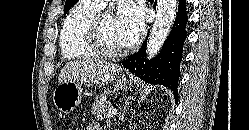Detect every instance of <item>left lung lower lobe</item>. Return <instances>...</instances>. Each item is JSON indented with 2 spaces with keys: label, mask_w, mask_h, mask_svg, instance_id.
I'll list each match as a JSON object with an SVG mask.
<instances>
[{
  "label": "left lung lower lobe",
  "mask_w": 249,
  "mask_h": 130,
  "mask_svg": "<svg viewBox=\"0 0 249 130\" xmlns=\"http://www.w3.org/2000/svg\"><path fill=\"white\" fill-rule=\"evenodd\" d=\"M188 15L186 0H179L178 12L172 30L160 53L151 61L146 57V41L140 50L122 62L125 68L150 84L168 87L178 101V79L183 45L186 39Z\"/></svg>",
  "instance_id": "obj_1"
}]
</instances>
